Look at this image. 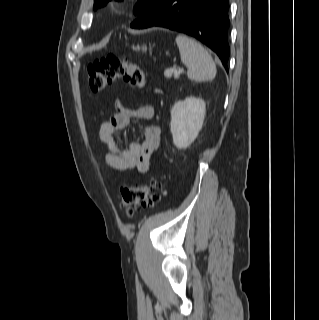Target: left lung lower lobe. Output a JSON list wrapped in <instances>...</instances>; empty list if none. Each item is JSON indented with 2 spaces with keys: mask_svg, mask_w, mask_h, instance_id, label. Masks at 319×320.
<instances>
[{
  "mask_svg": "<svg viewBox=\"0 0 319 320\" xmlns=\"http://www.w3.org/2000/svg\"><path fill=\"white\" fill-rule=\"evenodd\" d=\"M228 9V0H159L131 27L158 26L191 35L213 50L228 70Z\"/></svg>",
  "mask_w": 319,
  "mask_h": 320,
  "instance_id": "left-lung-lower-lobe-1",
  "label": "left lung lower lobe"
}]
</instances>
